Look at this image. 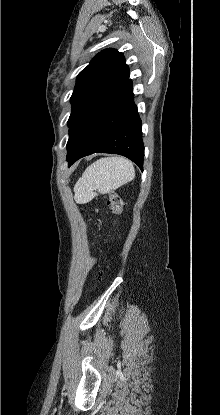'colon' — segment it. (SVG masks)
I'll return each mask as SVG.
<instances>
[{
  "instance_id": "colon-1",
  "label": "colon",
  "mask_w": 220,
  "mask_h": 415,
  "mask_svg": "<svg viewBox=\"0 0 220 415\" xmlns=\"http://www.w3.org/2000/svg\"><path fill=\"white\" fill-rule=\"evenodd\" d=\"M108 204L112 213L120 215L123 211V200L120 195L112 193L108 197Z\"/></svg>"
}]
</instances>
